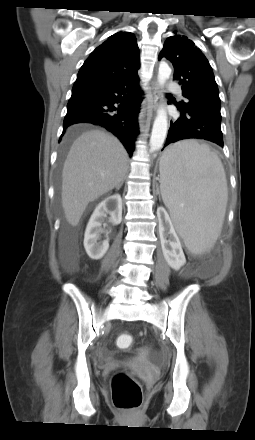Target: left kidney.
<instances>
[{"label":"left kidney","instance_id":"obj_1","mask_svg":"<svg viewBox=\"0 0 255 440\" xmlns=\"http://www.w3.org/2000/svg\"><path fill=\"white\" fill-rule=\"evenodd\" d=\"M157 215L160 222L159 233L164 258L172 269L179 270L186 263L179 237L163 207L158 208ZM163 220L165 221L164 224Z\"/></svg>","mask_w":255,"mask_h":440}]
</instances>
